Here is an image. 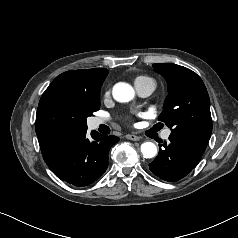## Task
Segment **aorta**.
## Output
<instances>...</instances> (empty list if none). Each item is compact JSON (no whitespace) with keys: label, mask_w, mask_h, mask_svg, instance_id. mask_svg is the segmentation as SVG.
Segmentation results:
<instances>
[{"label":"aorta","mask_w":238,"mask_h":238,"mask_svg":"<svg viewBox=\"0 0 238 238\" xmlns=\"http://www.w3.org/2000/svg\"><path fill=\"white\" fill-rule=\"evenodd\" d=\"M113 97L118 102H129L134 97V89L127 83H117L113 87ZM141 153L144 158H153L157 154V147L153 142H145L141 145Z\"/></svg>","instance_id":"aorta-1"}]
</instances>
